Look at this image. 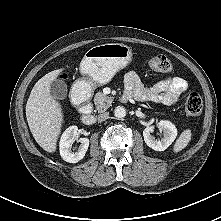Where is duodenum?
<instances>
[{
    "mask_svg": "<svg viewBox=\"0 0 221 221\" xmlns=\"http://www.w3.org/2000/svg\"><path fill=\"white\" fill-rule=\"evenodd\" d=\"M73 102L79 107L80 110V118L83 123H90L92 120V108L91 106L86 103L81 96L74 92L72 94Z\"/></svg>",
    "mask_w": 221,
    "mask_h": 221,
    "instance_id": "duodenum-1",
    "label": "duodenum"
}]
</instances>
